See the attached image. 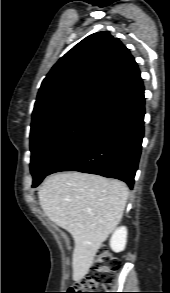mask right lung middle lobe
<instances>
[{"label":"right lung middle lobe","mask_w":170,"mask_h":293,"mask_svg":"<svg viewBox=\"0 0 170 293\" xmlns=\"http://www.w3.org/2000/svg\"><path fill=\"white\" fill-rule=\"evenodd\" d=\"M105 106L82 103L65 108L31 126L30 169L36 187L102 113Z\"/></svg>","instance_id":"right-lung-middle-lobe-1"}]
</instances>
